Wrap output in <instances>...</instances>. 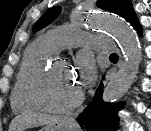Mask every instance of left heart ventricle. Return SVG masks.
<instances>
[{"label":"left heart ventricle","instance_id":"left-heart-ventricle-1","mask_svg":"<svg viewBox=\"0 0 151 131\" xmlns=\"http://www.w3.org/2000/svg\"><path fill=\"white\" fill-rule=\"evenodd\" d=\"M70 68L57 63L42 83V92L45 99L55 105L63 104L73 99L80 91Z\"/></svg>","mask_w":151,"mask_h":131}]
</instances>
